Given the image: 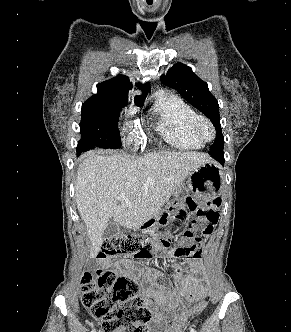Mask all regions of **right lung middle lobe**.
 <instances>
[{"label": "right lung middle lobe", "instance_id": "right-lung-middle-lobe-1", "mask_svg": "<svg viewBox=\"0 0 291 332\" xmlns=\"http://www.w3.org/2000/svg\"><path fill=\"white\" fill-rule=\"evenodd\" d=\"M128 100H87L82 104L80 125L81 140L77 145V154L95 146L116 148L121 146L118 130L120 111ZM141 102H135L141 106Z\"/></svg>", "mask_w": 291, "mask_h": 332}]
</instances>
